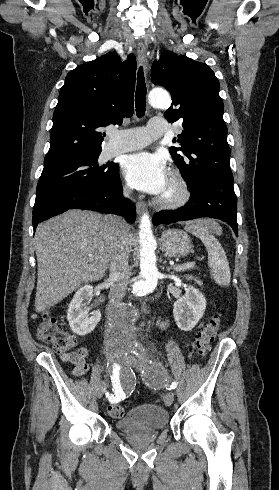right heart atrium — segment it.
<instances>
[{"mask_svg":"<svg viewBox=\"0 0 279 490\" xmlns=\"http://www.w3.org/2000/svg\"><path fill=\"white\" fill-rule=\"evenodd\" d=\"M121 192H122V194H123V195H125V196H126V195H128V194L130 193V189H129V187H128V186H126V185H124V184H123V185L121 186Z\"/></svg>","mask_w":279,"mask_h":490,"instance_id":"right-heart-atrium-1","label":"right heart atrium"}]
</instances>
